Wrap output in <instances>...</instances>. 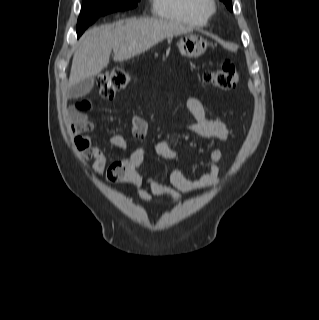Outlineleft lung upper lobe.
<instances>
[{"instance_id":"5c2ea615","label":"left lung upper lobe","mask_w":319,"mask_h":320,"mask_svg":"<svg viewBox=\"0 0 319 320\" xmlns=\"http://www.w3.org/2000/svg\"><path fill=\"white\" fill-rule=\"evenodd\" d=\"M225 3L226 7L230 10L233 11V7H232V2L231 0H221Z\"/></svg>"}]
</instances>
